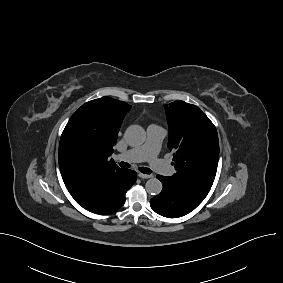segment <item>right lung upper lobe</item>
<instances>
[{"label": "right lung upper lobe", "mask_w": 283, "mask_h": 283, "mask_svg": "<svg viewBox=\"0 0 283 283\" xmlns=\"http://www.w3.org/2000/svg\"><path fill=\"white\" fill-rule=\"evenodd\" d=\"M130 109L127 103L105 96L83 104L69 119L61 135L58 161L74 199L122 170L109 157Z\"/></svg>", "instance_id": "1"}]
</instances>
